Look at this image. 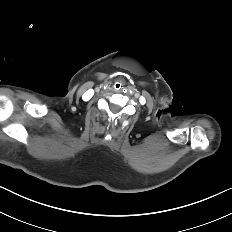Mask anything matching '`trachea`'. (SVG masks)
Masks as SVG:
<instances>
[{"instance_id":"obj_1","label":"trachea","mask_w":232,"mask_h":232,"mask_svg":"<svg viewBox=\"0 0 232 232\" xmlns=\"http://www.w3.org/2000/svg\"><path fill=\"white\" fill-rule=\"evenodd\" d=\"M124 85L122 82H115L114 85H113V88L117 91H121L123 89Z\"/></svg>"}]
</instances>
